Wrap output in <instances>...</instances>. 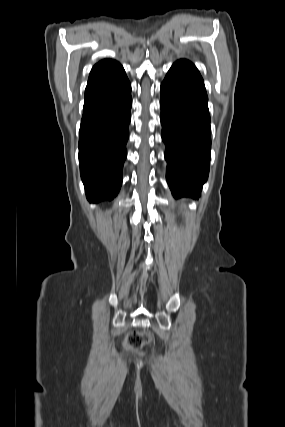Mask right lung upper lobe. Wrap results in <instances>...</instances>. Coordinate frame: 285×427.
<instances>
[{
  "mask_svg": "<svg viewBox=\"0 0 285 427\" xmlns=\"http://www.w3.org/2000/svg\"><path fill=\"white\" fill-rule=\"evenodd\" d=\"M119 67H121L120 63L115 60H112V59L101 60L100 62L95 64V66L92 68L88 81L106 76L114 72Z\"/></svg>",
  "mask_w": 285,
  "mask_h": 427,
  "instance_id": "right-lung-upper-lobe-1",
  "label": "right lung upper lobe"
}]
</instances>
